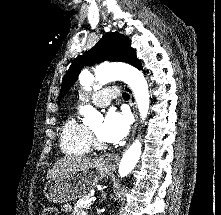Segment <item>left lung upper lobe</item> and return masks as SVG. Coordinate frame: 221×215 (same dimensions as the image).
<instances>
[{
	"label": "left lung upper lobe",
	"mask_w": 221,
	"mask_h": 215,
	"mask_svg": "<svg viewBox=\"0 0 221 215\" xmlns=\"http://www.w3.org/2000/svg\"><path fill=\"white\" fill-rule=\"evenodd\" d=\"M105 60L127 62L137 68H141V63L137 59L129 39L118 32L106 33L92 49L78 56L72 62L63 79L58 101L75 83L79 72L84 66L94 65Z\"/></svg>",
	"instance_id": "left-lung-upper-lobe-1"
}]
</instances>
